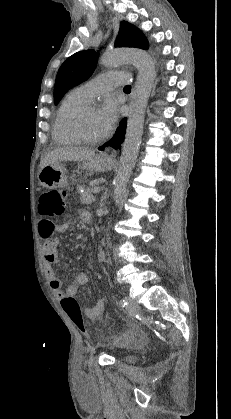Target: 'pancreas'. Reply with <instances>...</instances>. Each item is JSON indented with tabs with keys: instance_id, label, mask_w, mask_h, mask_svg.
<instances>
[{
	"instance_id": "cf45deb5",
	"label": "pancreas",
	"mask_w": 231,
	"mask_h": 419,
	"mask_svg": "<svg viewBox=\"0 0 231 419\" xmlns=\"http://www.w3.org/2000/svg\"><path fill=\"white\" fill-rule=\"evenodd\" d=\"M92 188H86L83 193H80V201L82 204L89 205L95 202V197L92 194Z\"/></svg>"
}]
</instances>
